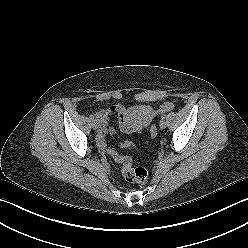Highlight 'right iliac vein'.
Segmentation results:
<instances>
[{"label":"right iliac vein","instance_id":"63e3f726","mask_svg":"<svg viewBox=\"0 0 248 248\" xmlns=\"http://www.w3.org/2000/svg\"><path fill=\"white\" fill-rule=\"evenodd\" d=\"M98 127H99L98 122H97L96 120H93V121H92V128H93L94 130H97Z\"/></svg>","mask_w":248,"mask_h":248}]
</instances>
